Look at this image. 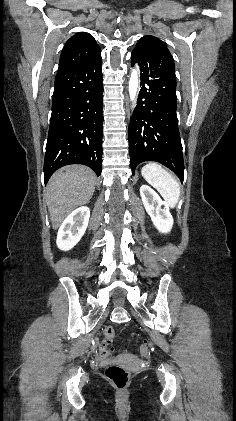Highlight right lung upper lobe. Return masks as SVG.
<instances>
[{"instance_id":"right-lung-upper-lobe-1","label":"right lung upper lobe","mask_w":236,"mask_h":421,"mask_svg":"<svg viewBox=\"0 0 236 421\" xmlns=\"http://www.w3.org/2000/svg\"><path fill=\"white\" fill-rule=\"evenodd\" d=\"M100 56L101 50L89 33H76L66 42L62 50L58 71L95 60Z\"/></svg>"}]
</instances>
